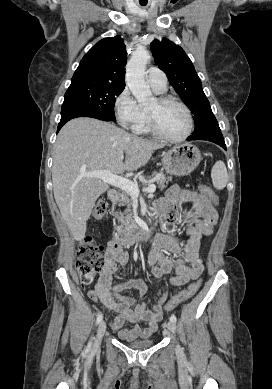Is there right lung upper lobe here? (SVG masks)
<instances>
[{"label":"right lung upper lobe","mask_w":272,"mask_h":389,"mask_svg":"<svg viewBox=\"0 0 272 389\" xmlns=\"http://www.w3.org/2000/svg\"><path fill=\"white\" fill-rule=\"evenodd\" d=\"M125 48L123 39L118 35L100 40L80 61L71 84L93 82L125 87Z\"/></svg>","instance_id":"cb5924a9"}]
</instances>
